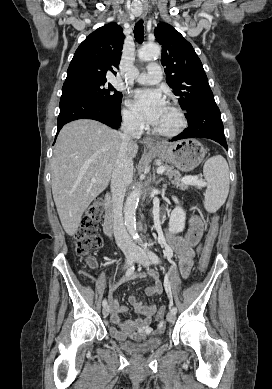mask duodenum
Wrapping results in <instances>:
<instances>
[{"mask_svg":"<svg viewBox=\"0 0 272 389\" xmlns=\"http://www.w3.org/2000/svg\"><path fill=\"white\" fill-rule=\"evenodd\" d=\"M103 204L105 207L103 230L107 236L111 237L113 234V227H114V213L112 209V197L110 193H107L104 196Z\"/></svg>","mask_w":272,"mask_h":389,"instance_id":"obj_1","label":"duodenum"}]
</instances>
